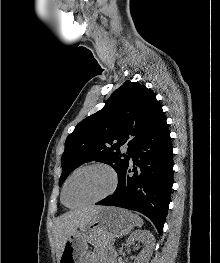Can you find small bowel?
Returning <instances> with one entry per match:
<instances>
[{
	"instance_id": "small-bowel-1",
	"label": "small bowel",
	"mask_w": 220,
	"mask_h": 263,
	"mask_svg": "<svg viewBox=\"0 0 220 263\" xmlns=\"http://www.w3.org/2000/svg\"><path fill=\"white\" fill-rule=\"evenodd\" d=\"M86 263H95L91 256H88Z\"/></svg>"
}]
</instances>
